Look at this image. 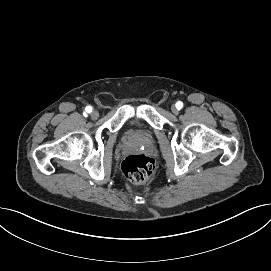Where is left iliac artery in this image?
Segmentation results:
<instances>
[{"label": "left iliac artery", "mask_w": 271, "mask_h": 271, "mask_svg": "<svg viewBox=\"0 0 271 271\" xmlns=\"http://www.w3.org/2000/svg\"><path fill=\"white\" fill-rule=\"evenodd\" d=\"M176 107L178 108V110L182 109L183 103H182L181 101H178V102L176 103Z\"/></svg>", "instance_id": "44dca946"}]
</instances>
